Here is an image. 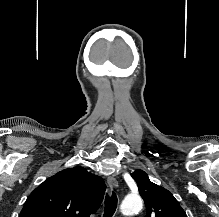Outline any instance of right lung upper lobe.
<instances>
[{
  "label": "right lung upper lobe",
  "instance_id": "1",
  "mask_svg": "<svg viewBox=\"0 0 219 217\" xmlns=\"http://www.w3.org/2000/svg\"><path fill=\"white\" fill-rule=\"evenodd\" d=\"M105 190L104 180L84 167L64 169L33 190L19 217H89Z\"/></svg>",
  "mask_w": 219,
  "mask_h": 217
}]
</instances>
